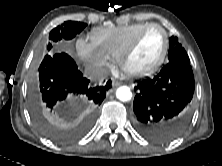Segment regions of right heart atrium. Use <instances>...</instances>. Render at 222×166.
Here are the masks:
<instances>
[{"mask_svg":"<svg viewBox=\"0 0 222 166\" xmlns=\"http://www.w3.org/2000/svg\"><path fill=\"white\" fill-rule=\"evenodd\" d=\"M77 50L81 58L91 67L103 69L109 63L108 56L87 39L78 40Z\"/></svg>","mask_w":222,"mask_h":166,"instance_id":"obj_1","label":"right heart atrium"}]
</instances>
